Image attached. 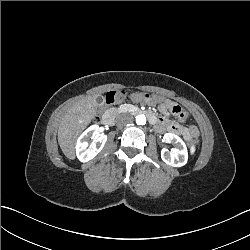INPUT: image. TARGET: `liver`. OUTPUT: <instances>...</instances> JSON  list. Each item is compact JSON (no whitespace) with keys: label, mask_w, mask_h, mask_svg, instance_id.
Segmentation results:
<instances>
[{"label":"liver","mask_w":250,"mask_h":250,"mask_svg":"<svg viewBox=\"0 0 250 250\" xmlns=\"http://www.w3.org/2000/svg\"><path fill=\"white\" fill-rule=\"evenodd\" d=\"M97 102L94 97L77 101L64 115L58 129V143L64 155L75 159V144L78 135L96 116Z\"/></svg>","instance_id":"obj_1"}]
</instances>
